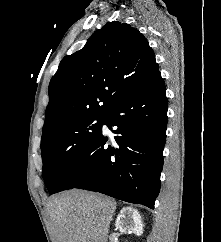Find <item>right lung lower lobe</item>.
I'll list each match as a JSON object with an SVG mask.
<instances>
[{
  "label": "right lung lower lobe",
  "instance_id": "obj_1",
  "mask_svg": "<svg viewBox=\"0 0 221 242\" xmlns=\"http://www.w3.org/2000/svg\"><path fill=\"white\" fill-rule=\"evenodd\" d=\"M167 97L161 73L114 103L101 132L71 163L51 194L71 188L154 208L166 140Z\"/></svg>",
  "mask_w": 221,
  "mask_h": 242
}]
</instances>
